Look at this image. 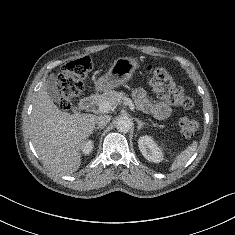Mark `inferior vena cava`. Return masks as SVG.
<instances>
[{
    "label": "inferior vena cava",
    "mask_w": 235,
    "mask_h": 235,
    "mask_svg": "<svg viewBox=\"0 0 235 235\" xmlns=\"http://www.w3.org/2000/svg\"><path fill=\"white\" fill-rule=\"evenodd\" d=\"M111 120L110 115H100L96 119V124L98 126H106Z\"/></svg>",
    "instance_id": "1"
}]
</instances>
